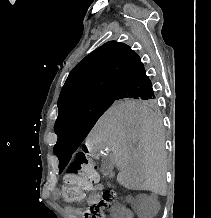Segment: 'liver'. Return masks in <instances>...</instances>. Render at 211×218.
<instances>
[{
	"mask_svg": "<svg viewBox=\"0 0 211 218\" xmlns=\"http://www.w3.org/2000/svg\"><path fill=\"white\" fill-rule=\"evenodd\" d=\"M90 152L108 150L120 170L117 182L128 190L166 194V160L161 120L147 108L111 106L87 140Z\"/></svg>",
	"mask_w": 211,
	"mask_h": 218,
	"instance_id": "obj_1",
	"label": "liver"
}]
</instances>
